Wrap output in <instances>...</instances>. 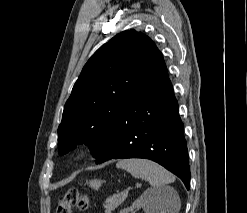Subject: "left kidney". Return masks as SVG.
Wrapping results in <instances>:
<instances>
[{
  "label": "left kidney",
  "instance_id": "5707ae66",
  "mask_svg": "<svg viewBox=\"0 0 247 213\" xmlns=\"http://www.w3.org/2000/svg\"><path fill=\"white\" fill-rule=\"evenodd\" d=\"M159 194L155 190H146L129 208L120 213H134L135 209L143 208L146 213H160Z\"/></svg>",
  "mask_w": 247,
  "mask_h": 213
}]
</instances>
